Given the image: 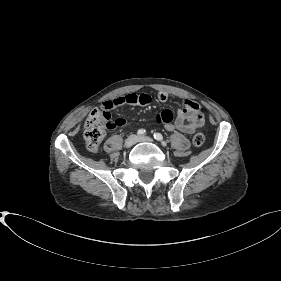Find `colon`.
Returning <instances> with one entry per match:
<instances>
[{"instance_id": "obj_1", "label": "colon", "mask_w": 281, "mask_h": 281, "mask_svg": "<svg viewBox=\"0 0 281 281\" xmlns=\"http://www.w3.org/2000/svg\"><path fill=\"white\" fill-rule=\"evenodd\" d=\"M115 126L116 122L112 120L111 114L108 111L102 109L93 110L88 115L84 125V139L87 149L92 153H96L107 130ZM192 140L193 144L199 147L204 144L205 136L203 133L197 132Z\"/></svg>"}]
</instances>
